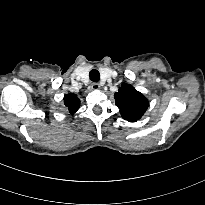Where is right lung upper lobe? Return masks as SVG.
Returning a JSON list of instances; mask_svg holds the SVG:
<instances>
[{
	"mask_svg": "<svg viewBox=\"0 0 205 205\" xmlns=\"http://www.w3.org/2000/svg\"><path fill=\"white\" fill-rule=\"evenodd\" d=\"M64 104L71 114H74L80 107V100L75 94H67L64 97Z\"/></svg>",
	"mask_w": 205,
	"mask_h": 205,
	"instance_id": "obj_1",
	"label": "right lung upper lobe"
}]
</instances>
